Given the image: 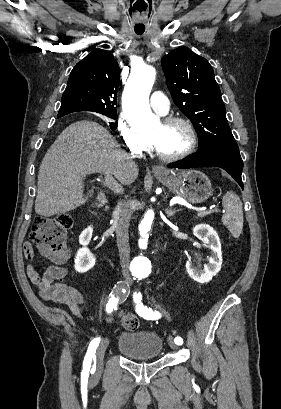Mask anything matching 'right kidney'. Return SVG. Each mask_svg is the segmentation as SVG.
<instances>
[{"instance_id":"right-kidney-1","label":"right kidney","mask_w":281,"mask_h":409,"mask_svg":"<svg viewBox=\"0 0 281 409\" xmlns=\"http://www.w3.org/2000/svg\"><path fill=\"white\" fill-rule=\"evenodd\" d=\"M92 233V227H87V229L82 231L79 237V243L82 245V249L77 251L74 265L75 271H78V273H87L96 263L93 253H91L87 247L91 241Z\"/></svg>"}]
</instances>
